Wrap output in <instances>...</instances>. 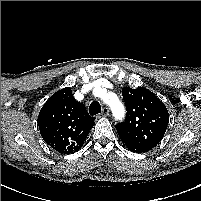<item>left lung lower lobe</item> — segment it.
<instances>
[{
  "instance_id": "1",
  "label": "left lung lower lobe",
  "mask_w": 201,
  "mask_h": 201,
  "mask_svg": "<svg viewBox=\"0 0 201 201\" xmlns=\"http://www.w3.org/2000/svg\"><path fill=\"white\" fill-rule=\"evenodd\" d=\"M127 148H128L130 151H132V152H138V153L145 152V151H142V150H140V149H135V148H132V147H129V146H127Z\"/></svg>"
}]
</instances>
